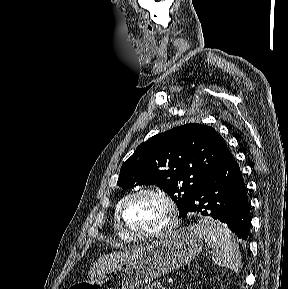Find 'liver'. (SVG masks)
I'll list each match as a JSON object with an SVG mask.
<instances>
[{
	"label": "liver",
	"instance_id": "liver-1",
	"mask_svg": "<svg viewBox=\"0 0 288 289\" xmlns=\"http://www.w3.org/2000/svg\"><path fill=\"white\" fill-rule=\"evenodd\" d=\"M143 249H136L125 252H114L109 255H103L97 262L93 264L90 268L89 274L91 277L100 275L104 272H107L118 265L126 264L133 259H136Z\"/></svg>",
	"mask_w": 288,
	"mask_h": 289
}]
</instances>
